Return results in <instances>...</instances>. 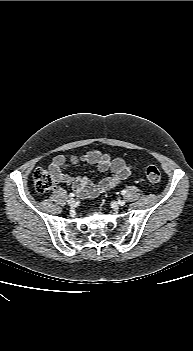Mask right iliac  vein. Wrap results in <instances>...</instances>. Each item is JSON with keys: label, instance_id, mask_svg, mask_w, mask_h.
<instances>
[{"label": "right iliac vein", "instance_id": "obj_1", "mask_svg": "<svg viewBox=\"0 0 193 351\" xmlns=\"http://www.w3.org/2000/svg\"><path fill=\"white\" fill-rule=\"evenodd\" d=\"M67 203L69 206H73L75 204V200L73 198H71L67 201Z\"/></svg>", "mask_w": 193, "mask_h": 351}]
</instances>
